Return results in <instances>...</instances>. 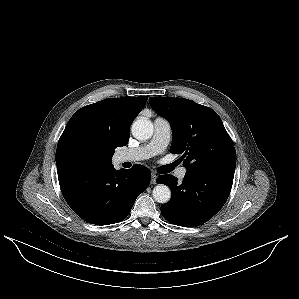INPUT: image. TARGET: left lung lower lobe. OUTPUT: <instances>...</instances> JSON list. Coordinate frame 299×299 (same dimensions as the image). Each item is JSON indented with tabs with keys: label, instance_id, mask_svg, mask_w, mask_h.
Instances as JSON below:
<instances>
[{
	"label": "left lung lower lobe",
	"instance_id": "0a47b994",
	"mask_svg": "<svg viewBox=\"0 0 299 299\" xmlns=\"http://www.w3.org/2000/svg\"><path fill=\"white\" fill-rule=\"evenodd\" d=\"M233 169L188 170L181 184L171 175H161L157 183L171 189L172 199L161 206L163 217L172 224L196 227L211 219L225 204L233 183Z\"/></svg>",
	"mask_w": 299,
	"mask_h": 299
}]
</instances>
